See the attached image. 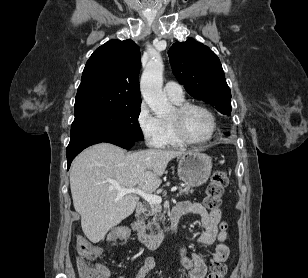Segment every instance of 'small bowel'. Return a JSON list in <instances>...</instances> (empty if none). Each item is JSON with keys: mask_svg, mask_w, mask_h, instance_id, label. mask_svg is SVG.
<instances>
[{"mask_svg": "<svg viewBox=\"0 0 308 278\" xmlns=\"http://www.w3.org/2000/svg\"><path fill=\"white\" fill-rule=\"evenodd\" d=\"M173 210L179 218L187 215H198L201 220L202 231L199 233L197 241L203 247L216 243L215 252L210 259L206 258L203 251L194 252L189 256L186 247H181L179 252L181 265L189 271L190 278H205L209 262H224L229 255V248L225 243L227 224L222 220L221 211L219 209L207 211L201 203L190 201L178 203ZM154 266L153 258H147L136 273L135 278H145ZM109 277V269L99 265L97 278ZM117 278L125 277L120 275Z\"/></svg>", "mask_w": 308, "mask_h": 278, "instance_id": "1", "label": "small bowel"}]
</instances>
